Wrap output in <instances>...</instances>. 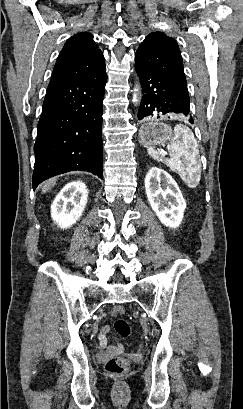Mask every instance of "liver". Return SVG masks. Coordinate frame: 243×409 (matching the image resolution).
<instances>
[{
  "label": "liver",
  "mask_w": 243,
  "mask_h": 409,
  "mask_svg": "<svg viewBox=\"0 0 243 409\" xmlns=\"http://www.w3.org/2000/svg\"><path fill=\"white\" fill-rule=\"evenodd\" d=\"M55 184H56V178H53V179L47 181L44 184L43 188H42V192H46V191L50 190Z\"/></svg>",
  "instance_id": "obj_1"
}]
</instances>
